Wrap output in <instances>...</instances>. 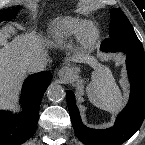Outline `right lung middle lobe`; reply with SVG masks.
<instances>
[{
	"label": "right lung middle lobe",
	"mask_w": 145,
	"mask_h": 145,
	"mask_svg": "<svg viewBox=\"0 0 145 145\" xmlns=\"http://www.w3.org/2000/svg\"><path fill=\"white\" fill-rule=\"evenodd\" d=\"M17 13L16 8H12L10 10H1L0 11V21L3 19H10L13 18Z\"/></svg>",
	"instance_id": "right-lung-middle-lobe-1"
}]
</instances>
